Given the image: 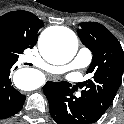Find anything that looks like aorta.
<instances>
[{"mask_svg": "<svg viewBox=\"0 0 124 124\" xmlns=\"http://www.w3.org/2000/svg\"><path fill=\"white\" fill-rule=\"evenodd\" d=\"M78 49L75 34L66 28L56 31H44L39 40L41 55L52 64L62 65L73 59ZM32 74L29 70H19L14 75L17 86L22 89H34L31 82Z\"/></svg>", "mask_w": 124, "mask_h": 124, "instance_id": "obj_1", "label": "aorta"}]
</instances>
